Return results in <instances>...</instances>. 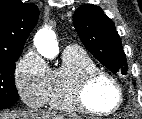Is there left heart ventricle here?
Segmentation results:
<instances>
[{
  "mask_svg": "<svg viewBox=\"0 0 142 119\" xmlns=\"http://www.w3.org/2000/svg\"><path fill=\"white\" fill-rule=\"evenodd\" d=\"M87 99L94 109L106 111L117 103L118 94L108 80L100 79L91 86Z\"/></svg>",
  "mask_w": 142,
  "mask_h": 119,
  "instance_id": "1",
  "label": "left heart ventricle"
}]
</instances>
